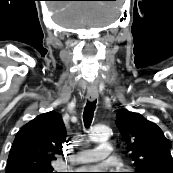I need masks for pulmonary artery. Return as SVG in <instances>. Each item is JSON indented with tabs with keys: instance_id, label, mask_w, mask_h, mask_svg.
<instances>
[{
	"instance_id": "pulmonary-artery-1",
	"label": "pulmonary artery",
	"mask_w": 173,
	"mask_h": 173,
	"mask_svg": "<svg viewBox=\"0 0 173 173\" xmlns=\"http://www.w3.org/2000/svg\"><path fill=\"white\" fill-rule=\"evenodd\" d=\"M112 149V145L109 142L104 141L96 148L78 152L73 156L72 162L77 164L98 162L107 158L111 154Z\"/></svg>"
}]
</instances>
